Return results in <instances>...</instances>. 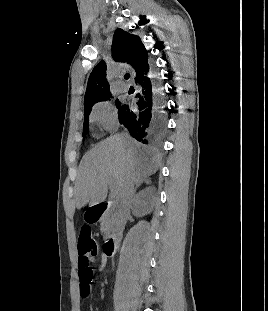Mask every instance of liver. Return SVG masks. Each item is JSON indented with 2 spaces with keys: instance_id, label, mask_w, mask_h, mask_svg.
Masks as SVG:
<instances>
[{
  "instance_id": "6515ba94",
  "label": "liver",
  "mask_w": 268,
  "mask_h": 311,
  "mask_svg": "<svg viewBox=\"0 0 268 311\" xmlns=\"http://www.w3.org/2000/svg\"><path fill=\"white\" fill-rule=\"evenodd\" d=\"M128 135H114L87 152L75 183L76 208L103 202L113 181L121 193L126 182L138 184L154 174L158 159Z\"/></svg>"
}]
</instances>
